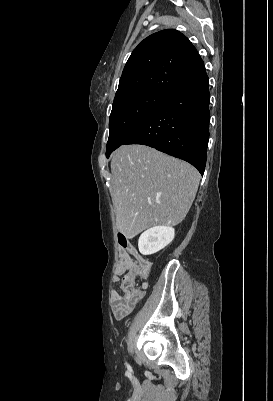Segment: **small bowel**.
I'll use <instances>...</instances> for the list:
<instances>
[{
	"instance_id": "small-bowel-1",
	"label": "small bowel",
	"mask_w": 273,
	"mask_h": 401,
	"mask_svg": "<svg viewBox=\"0 0 273 401\" xmlns=\"http://www.w3.org/2000/svg\"><path fill=\"white\" fill-rule=\"evenodd\" d=\"M121 245L127 246V251L131 252V257L143 259L139 256L133 247L132 244L128 242H121ZM121 261L128 260H120L118 265L115 268V278L117 271H122L120 268ZM145 289L148 288L147 282H144ZM127 302V303H126ZM145 297L142 295L140 290H137L136 285L134 284H125L124 290H114L112 291V312L117 320H122L127 317L138 304H144Z\"/></svg>"
}]
</instances>
